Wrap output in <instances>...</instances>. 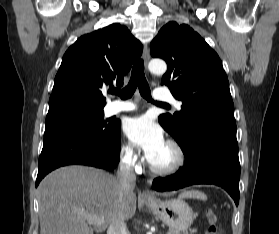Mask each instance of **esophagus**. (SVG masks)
Returning <instances> with one entry per match:
<instances>
[{"mask_svg":"<svg viewBox=\"0 0 279 234\" xmlns=\"http://www.w3.org/2000/svg\"><path fill=\"white\" fill-rule=\"evenodd\" d=\"M143 58H144V61H145V65L147 66L148 61L150 59V53H149V49H148L147 45H145L144 49H143ZM142 197L145 198V199H151L153 196H152V194L150 193L149 190H144L142 192Z\"/></svg>","mask_w":279,"mask_h":234,"instance_id":"34e87169","label":"esophagus"}]
</instances>
